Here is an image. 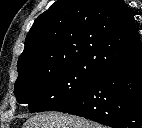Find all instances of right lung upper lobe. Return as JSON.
<instances>
[{
	"label": "right lung upper lobe",
	"instance_id": "obj_1",
	"mask_svg": "<svg viewBox=\"0 0 142 128\" xmlns=\"http://www.w3.org/2000/svg\"><path fill=\"white\" fill-rule=\"evenodd\" d=\"M140 56V37L124 0H57L26 37L18 79L66 66H83L97 77Z\"/></svg>",
	"mask_w": 142,
	"mask_h": 128
}]
</instances>
